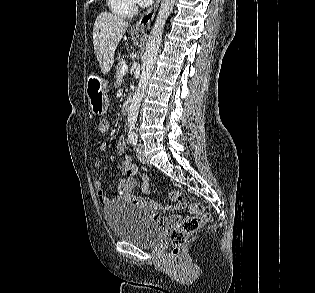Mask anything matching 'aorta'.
<instances>
[{
	"label": "aorta",
	"mask_w": 315,
	"mask_h": 293,
	"mask_svg": "<svg viewBox=\"0 0 315 293\" xmlns=\"http://www.w3.org/2000/svg\"><path fill=\"white\" fill-rule=\"evenodd\" d=\"M174 4L175 0H161L157 18L150 31L148 41L146 43V51L143 57V63L141 66L139 84L133 95L128 111L127 122L130 131L135 128L140 104L147 89L148 82L153 71L154 62L161 45L163 29L167 18L173 10Z\"/></svg>",
	"instance_id": "aorta-1"
}]
</instances>
